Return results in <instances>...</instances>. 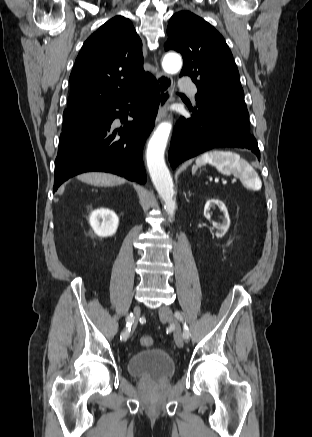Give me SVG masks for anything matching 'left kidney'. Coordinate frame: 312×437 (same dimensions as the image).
Wrapping results in <instances>:
<instances>
[{"label":"left kidney","instance_id":"obj_1","mask_svg":"<svg viewBox=\"0 0 312 437\" xmlns=\"http://www.w3.org/2000/svg\"><path fill=\"white\" fill-rule=\"evenodd\" d=\"M214 205H217L220 207V209L223 211L224 213V218L222 220V223H218V222H212L213 223V227L221 232V233H225L229 226H230V219H229V215H228V211L224 205L223 202H221L220 200L217 199H210L206 202L205 207H204V216L210 220L211 216H210V209L211 207H213Z\"/></svg>","mask_w":312,"mask_h":437}]
</instances>
